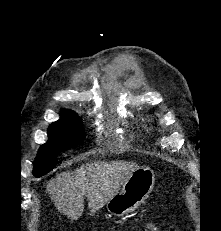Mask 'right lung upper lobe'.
I'll return each mask as SVG.
<instances>
[{
	"label": "right lung upper lobe",
	"mask_w": 221,
	"mask_h": 231,
	"mask_svg": "<svg viewBox=\"0 0 221 231\" xmlns=\"http://www.w3.org/2000/svg\"><path fill=\"white\" fill-rule=\"evenodd\" d=\"M61 116L63 118H77V114L70 111V110H64L62 113H61Z\"/></svg>",
	"instance_id": "right-lung-upper-lobe-1"
}]
</instances>
